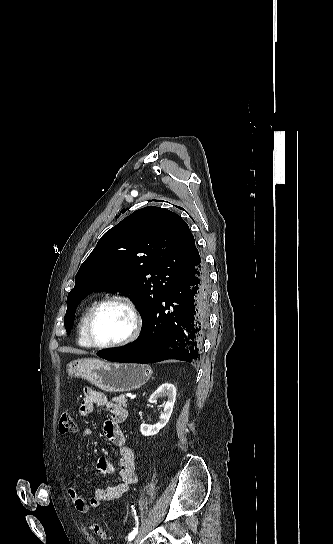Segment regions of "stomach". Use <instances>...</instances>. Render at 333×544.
<instances>
[{"mask_svg":"<svg viewBox=\"0 0 333 544\" xmlns=\"http://www.w3.org/2000/svg\"><path fill=\"white\" fill-rule=\"evenodd\" d=\"M69 376L83 378L105 392H127L140 388L152 375L150 366L137 363H108L81 359L67 364Z\"/></svg>","mask_w":333,"mask_h":544,"instance_id":"stomach-1","label":"stomach"}]
</instances>
